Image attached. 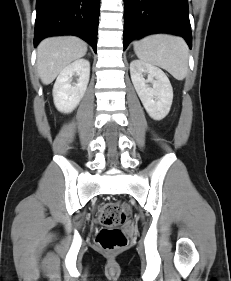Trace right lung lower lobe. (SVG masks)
<instances>
[{
  "mask_svg": "<svg viewBox=\"0 0 231 281\" xmlns=\"http://www.w3.org/2000/svg\"><path fill=\"white\" fill-rule=\"evenodd\" d=\"M34 46L54 35H75L96 52L100 0H37Z\"/></svg>",
  "mask_w": 231,
  "mask_h": 281,
  "instance_id": "obj_1",
  "label": "right lung lower lobe"
}]
</instances>
